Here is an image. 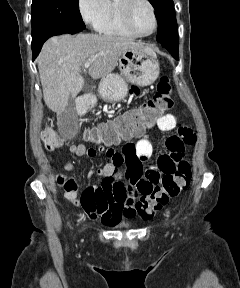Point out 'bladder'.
Here are the masks:
<instances>
[{"label":"bladder","mask_w":240,"mask_h":288,"mask_svg":"<svg viewBox=\"0 0 240 288\" xmlns=\"http://www.w3.org/2000/svg\"><path fill=\"white\" fill-rule=\"evenodd\" d=\"M119 227H120V228H125V229L131 228V226L128 225V224H124V225H121V226H119Z\"/></svg>","instance_id":"31cf9c89"}]
</instances>
